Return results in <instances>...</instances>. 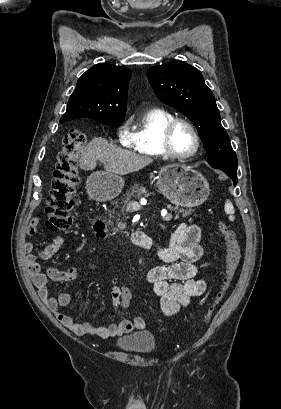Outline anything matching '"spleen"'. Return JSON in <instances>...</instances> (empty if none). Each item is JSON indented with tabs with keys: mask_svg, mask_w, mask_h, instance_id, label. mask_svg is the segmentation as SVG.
Wrapping results in <instances>:
<instances>
[{
	"mask_svg": "<svg viewBox=\"0 0 281 409\" xmlns=\"http://www.w3.org/2000/svg\"><path fill=\"white\" fill-rule=\"evenodd\" d=\"M224 209H225V213H227V215H229V221H234L235 211H234V207L232 205L231 200H226Z\"/></svg>",
	"mask_w": 281,
	"mask_h": 409,
	"instance_id": "spleen-1",
	"label": "spleen"
}]
</instances>
